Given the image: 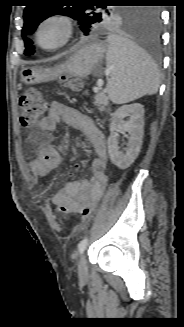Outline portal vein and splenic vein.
<instances>
[{
	"mask_svg": "<svg viewBox=\"0 0 184 327\" xmlns=\"http://www.w3.org/2000/svg\"><path fill=\"white\" fill-rule=\"evenodd\" d=\"M102 85H103V80L102 79H98L97 86L93 88V91L94 92H98L100 90V88L102 87Z\"/></svg>",
	"mask_w": 184,
	"mask_h": 327,
	"instance_id": "18ae733b",
	"label": "portal vein and splenic vein"
}]
</instances>
